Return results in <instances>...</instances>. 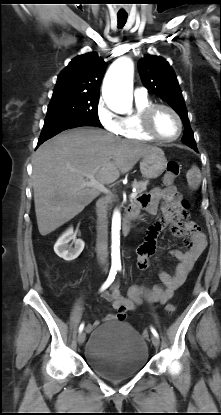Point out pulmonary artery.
Listing matches in <instances>:
<instances>
[{
	"instance_id": "pulmonary-artery-1",
	"label": "pulmonary artery",
	"mask_w": 221,
	"mask_h": 415,
	"mask_svg": "<svg viewBox=\"0 0 221 415\" xmlns=\"http://www.w3.org/2000/svg\"><path fill=\"white\" fill-rule=\"evenodd\" d=\"M135 98H143L147 96V90L143 87H137L134 91Z\"/></svg>"
}]
</instances>
